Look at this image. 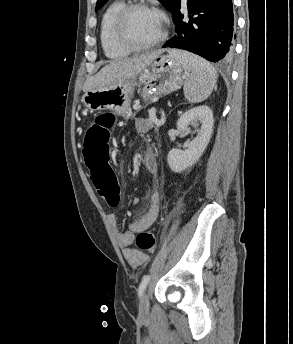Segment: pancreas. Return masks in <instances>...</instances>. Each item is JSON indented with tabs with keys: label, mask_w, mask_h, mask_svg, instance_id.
<instances>
[{
	"label": "pancreas",
	"mask_w": 293,
	"mask_h": 344,
	"mask_svg": "<svg viewBox=\"0 0 293 344\" xmlns=\"http://www.w3.org/2000/svg\"><path fill=\"white\" fill-rule=\"evenodd\" d=\"M146 124H147L148 129L155 127V122L152 119H148L146 121Z\"/></svg>",
	"instance_id": "cf45deb5"
}]
</instances>
